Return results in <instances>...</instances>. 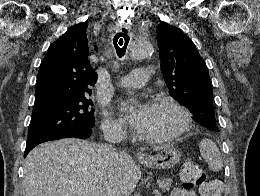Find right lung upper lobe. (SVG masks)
Instances as JSON below:
<instances>
[{
  "label": "right lung upper lobe",
  "instance_id": "right-lung-upper-lobe-1",
  "mask_svg": "<svg viewBox=\"0 0 260 196\" xmlns=\"http://www.w3.org/2000/svg\"><path fill=\"white\" fill-rule=\"evenodd\" d=\"M87 27L86 22L74 25L50 45L37 75L35 105L61 95L91 92L88 87L94 86L97 74L88 59Z\"/></svg>",
  "mask_w": 260,
  "mask_h": 196
}]
</instances>
